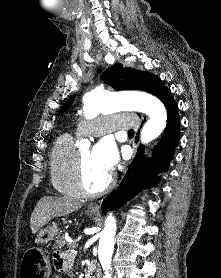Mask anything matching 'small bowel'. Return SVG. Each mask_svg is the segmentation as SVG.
Returning a JSON list of instances; mask_svg holds the SVG:
<instances>
[{
  "instance_id": "obj_1",
  "label": "small bowel",
  "mask_w": 221,
  "mask_h": 278,
  "mask_svg": "<svg viewBox=\"0 0 221 278\" xmlns=\"http://www.w3.org/2000/svg\"><path fill=\"white\" fill-rule=\"evenodd\" d=\"M74 254L71 251L56 252L53 255V263L58 272L52 278H63L71 277L73 275L72 264H73Z\"/></svg>"
}]
</instances>
